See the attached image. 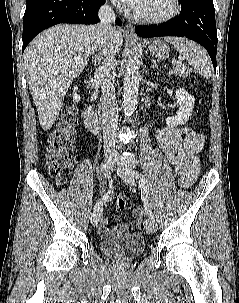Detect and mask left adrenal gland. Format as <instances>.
Wrapping results in <instances>:
<instances>
[{"mask_svg":"<svg viewBox=\"0 0 239 303\" xmlns=\"http://www.w3.org/2000/svg\"><path fill=\"white\" fill-rule=\"evenodd\" d=\"M151 69H156V70L160 71V69L158 68V65L156 64L155 60L152 61Z\"/></svg>","mask_w":239,"mask_h":303,"instance_id":"obj_1","label":"left adrenal gland"}]
</instances>
